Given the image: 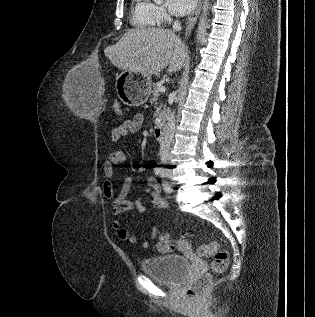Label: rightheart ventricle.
I'll list each match as a JSON object with an SVG mask.
<instances>
[{"label": "right heart ventricle", "mask_w": 315, "mask_h": 317, "mask_svg": "<svg viewBox=\"0 0 315 317\" xmlns=\"http://www.w3.org/2000/svg\"><path fill=\"white\" fill-rule=\"evenodd\" d=\"M130 21L138 28H150L159 22L149 0H132Z\"/></svg>", "instance_id": "obj_1"}]
</instances>
